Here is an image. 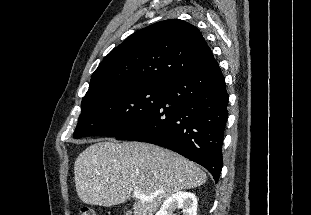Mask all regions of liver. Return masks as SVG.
I'll use <instances>...</instances> for the list:
<instances>
[{
	"mask_svg": "<svg viewBox=\"0 0 311 215\" xmlns=\"http://www.w3.org/2000/svg\"><path fill=\"white\" fill-rule=\"evenodd\" d=\"M78 197L88 205L124 203L135 190L150 197L133 204L134 215H153L172 194L201 186L206 174L179 154L147 143L97 141L76 158Z\"/></svg>",
	"mask_w": 311,
	"mask_h": 215,
	"instance_id": "1",
	"label": "liver"
}]
</instances>
